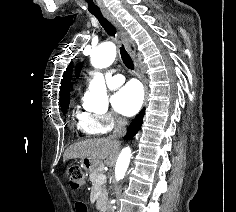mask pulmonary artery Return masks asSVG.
Here are the masks:
<instances>
[{"label": "pulmonary artery", "mask_w": 236, "mask_h": 212, "mask_svg": "<svg viewBox=\"0 0 236 212\" xmlns=\"http://www.w3.org/2000/svg\"><path fill=\"white\" fill-rule=\"evenodd\" d=\"M124 82L123 75L116 73L115 70L108 71L106 74V85L110 89L117 88Z\"/></svg>", "instance_id": "obj_1"}]
</instances>
